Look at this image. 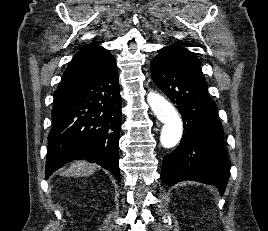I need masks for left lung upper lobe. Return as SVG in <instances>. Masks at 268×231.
<instances>
[{
	"label": "left lung upper lobe",
	"mask_w": 268,
	"mask_h": 231,
	"mask_svg": "<svg viewBox=\"0 0 268 231\" xmlns=\"http://www.w3.org/2000/svg\"><path fill=\"white\" fill-rule=\"evenodd\" d=\"M155 58L166 60L172 65L181 68L192 75L205 79L197 57L181 45L164 47L159 50V55Z\"/></svg>",
	"instance_id": "obj_1"
}]
</instances>
